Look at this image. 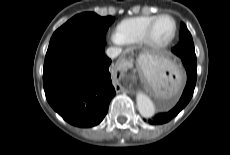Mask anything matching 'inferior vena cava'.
Here are the masks:
<instances>
[{
    "label": "inferior vena cava",
    "instance_id": "1",
    "mask_svg": "<svg viewBox=\"0 0 230 155\" xmlns=\"http://www.w3.org/2000/svg\"><path fill=\"white\" fill-rule=\"evenodd\" d=\"M120 53H121V49L118 47H109L106 50V55L111 59L116 58Z\"/></svg>",
    "mask_w": 230,
    "mask_h": 155
}]
</instances>
